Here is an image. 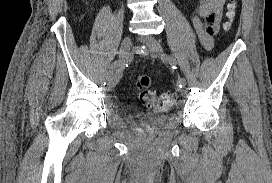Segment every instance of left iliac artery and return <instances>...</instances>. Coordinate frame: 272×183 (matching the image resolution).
<instances>
[{"label":"left iliac artery","mask_w":272,"mask_h":183,"mask_svg":"<svg viewBox=\"0 0 272 183\" xmlns=\"http://www.w3.org/2000/svg\"><path fill=\"white\" fill-rule=\"evenodd\" d=\"M166 59L169 62V64L172 66L173 69L176 68L177 61L172 55H166ZM178 85L180 88H184L186 86V80L183 77L178 78Z\"/></svg>","instance_id":"1"}]
</instances>
